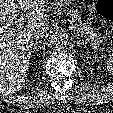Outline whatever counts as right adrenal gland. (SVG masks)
<instances>
[{"label":"right adrenal gland","instance_id":"right-adrenal-gland-1","mask_svg":"<svg viewBox=\"0 0 113 113\" xmlns=\"http://www.w3.org/2000/svg\"><path fill=\"white\" fill-rule=\"evenodd\" d=\"M39 42H40V38L37 37V38L35 39V43L33 44V50L37 49Z\"/></svg>","mask_w":113,"mask_h":113}]
</instances>
